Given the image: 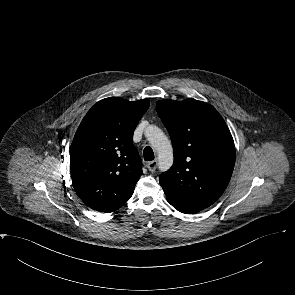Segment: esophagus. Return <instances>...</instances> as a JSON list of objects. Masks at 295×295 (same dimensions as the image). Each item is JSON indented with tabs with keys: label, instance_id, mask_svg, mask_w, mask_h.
I'll return each instance as SVG.
<instances>
[{
	"label": "esophagus",
	"instance_id": "1",
	"mask_svg": "<svg viewBox=\"0 0 295 295\" xmlns=\"http://www.w3.org/2000/svg\"><path fill=\"white\" fill-rule=\"evenodd\" d=\"M157 160H153L147 163V168L149 169L150 172H155L157 168Z\"/></svg>",
	"mask_w": 295,
	"mask_h": 295
}]
</instances>
